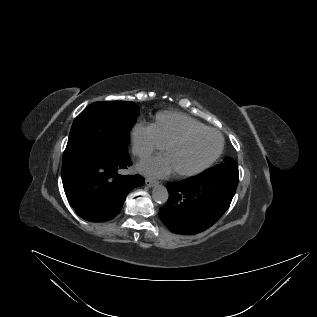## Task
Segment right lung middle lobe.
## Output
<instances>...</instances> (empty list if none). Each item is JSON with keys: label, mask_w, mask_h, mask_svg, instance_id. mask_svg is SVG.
Instances as JSON below:
<instances>
[{"label": "right lung middle lobe", "mask_w": 317, "mask_h": 317, "mask_svg": "<svg viewBox=\"0 0 317 317\" xmlns=\"http://www.w3.org/2000/svg\"><path fill=\"white\" fill-rule=\"evenodd\" d=\"M140 111L133 102H95L74 120L63 155L62 170L103 156L127 153L129 132Z\"/></svg>", "instance_id": "obj_1"}]
</instances>
